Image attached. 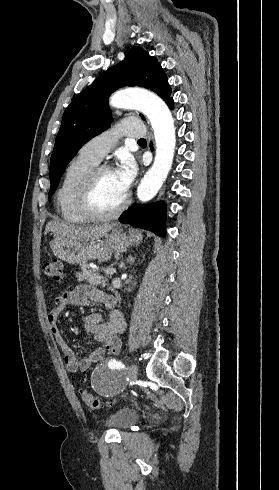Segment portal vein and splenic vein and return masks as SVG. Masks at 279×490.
I'll use <instances>...</instances> for the list:
<instances>
[{
    "instance_id": "portal-vein-and-splenic-vein-1",
    "label": "portal vein and splenic vein",
    "mask_w": 279,
    "mask_h": 490,
    "mask_svg": "<svg viewBox=\"0 0 279 490\" xmlns=\"http://www.w3.org/2000/svg\"><path fill=\"white\" fill-rule=\"evenodd\" d=\"M105 274H115L116 270H113V268H107V270H104Z\"/></svg>"
}]
</instances>
